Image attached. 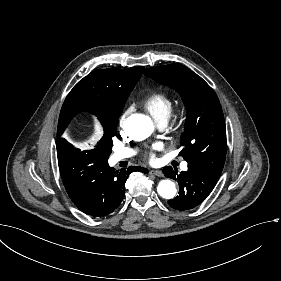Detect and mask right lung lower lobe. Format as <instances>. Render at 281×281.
<instances>
[{
	"instance_id": "obj_1",
	"label": "right lung lower lobe",
	"mask_w": 281,
	"mask_h": 281,
	"mask_svg": "<svg viewBox=\"0 0 281 281\" xmlns=\"http://www.w3.org/2000/svg\"><path fill=\"white\" fill-rule=\"evenodd\" d=\"M57 154L70 199L79 210L94 217L112 213L121 204L124 183L131 172L148 173L145 168L132 166L115 170L96 148L81 152L64 138L57 139Z\"/></svg>"
}]
</instances>
